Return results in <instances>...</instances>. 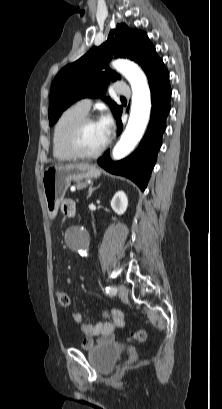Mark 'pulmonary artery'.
Instances as JSON below:
<instances>
[{"label":"pulmonary artery","instance_id":"1","mask_svg":"<svg viewBox=\"0 0 222 409\" xmlns=\"http://www.w3.org/2000/svg\"><path fill=\"white\" fill-rule=\"evenodd\" d=\"M115 93L121 94V95H129V88L122 84H119L115 89ZM76 105L83 111L89 112L92 106V100L90 98H84L79 100Z\"/></svg>","mask_w":222,"mask_h":409}]
</instances>
